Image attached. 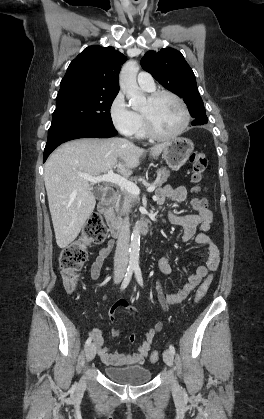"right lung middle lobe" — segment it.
<instances>
[{"label": "right lung middle lobe", "mask_w": 264, "mask_h": 419, "mask_svg": "<svg viewBox=\"0 0 264 419\" xmlns=\"http://www.w3.org/2000/svg\"><path fill=\"white\" fill-rule=\"evenodd\" d=\"M117 93L94 91L82 85L60 87L48 140L77 127L115 129L110 108Z\"/></svg>", "instance_id": "1"}]
</instances>
